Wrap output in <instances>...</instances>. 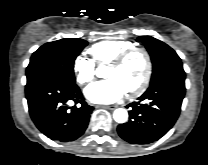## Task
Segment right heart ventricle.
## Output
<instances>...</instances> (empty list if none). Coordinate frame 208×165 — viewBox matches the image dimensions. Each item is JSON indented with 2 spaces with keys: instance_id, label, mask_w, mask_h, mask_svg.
Masks as SVG:
<instances>
[{
  "instance_id": "1",
  "label": "right heart ventricle",
  "mask_w": 208,
  "mask_h": 165,
  "mask_svg": "<svg viewBox=\"0 0 208 165\" xmlns=\"http://www.w3.org/2000/svg\"><path fill=\"white\" fill-rule=\"evenodd\" d=\"M133 46L134 44L127 40L106 39L92 45L88 52L94 63H109L119 53Z\"/></svg>"
}]
</instances>
